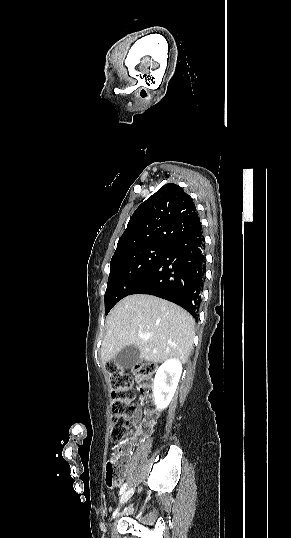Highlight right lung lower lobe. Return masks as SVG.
<instances>
[{"label": "right lung lower lobe", "instance_id": "obj_1", "mask_svg": "<svg viewBox=\"0 0 291 538\" xmlns=\"http://www.w3.org/2000/svg\"><path fill=\"white\" fill-rule=\"evenodd\" d=\"M202 226L169 247L132 294H150L174 302L196 317L206 268Z\"/></svg>", "mask_w": 291, "mask_h": 538}]
</instances>
